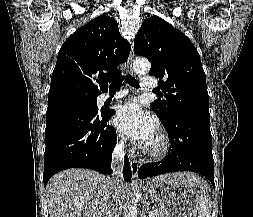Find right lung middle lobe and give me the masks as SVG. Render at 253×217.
Wrapping results in <instances>:
<instances>
[{
  "label": "right lung middle lobe",
  "mask_w": 253,
  "mask_h": 217,
  "mask_svg": "<svg viewBox=\"0 0 253 217\" xmlns=\"http://www.w3.org/2000/svg\"><path fill=\"white\" fill-rule=\"evenodd\" d=\"M96 99L97 97H75L48 102L46 116L63 110L76 108L98 112Z\"/></svg>",
  "instance_id": "obj_1"
}]
</instances>
